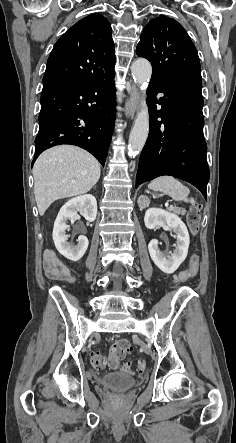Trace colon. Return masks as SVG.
Instances as JSON below:
<instances>
[{
  "label": "colon",
  "instance_id": "5ec220e1",
  "mask_svg": "<svg viewBox=\"0 0 236 443\" xmlns=\"http://www.w3.org/2000/svg\"><path fill=\"white\" fill-rule=\"evenodd\" d=\"M200 204H193L188 210L186 221L190 231L196 234L200 225ZM199 256L193 253L190 257L189 268L181 272L177 278V282H184L189 278L195 276L198 272ZM132 345L127 339L115 340L109 351V355L105 358L101 353L95 352L91 355V364L95 369L102 370L109 369H124L130 370V364L125 361L126 357L131 353ZM147 366L145 362L138 363L139 372H144Z\"/></svg>",
  "mask_w": 236,
  "mask_h": 443
}]
</instances>
